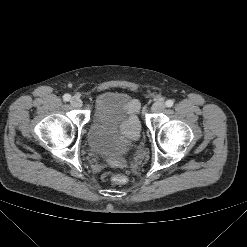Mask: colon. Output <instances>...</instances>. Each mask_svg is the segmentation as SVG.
<instances>
[{"mask_svg":"<svg viewBox=\"0 0 247 247\" xmlns=\"http://www.w3.org/2000/svg\"><path fill=\"white\" fill-rule=\"evenodd\" d=\"M112 181L117 185H124L128 182V177L125 175L118 174L112 178Z\"/></svg>","mask_w":247,"mask_h":247,"instance_id":"5ec220e1","label":"colon"}]
</instances>
